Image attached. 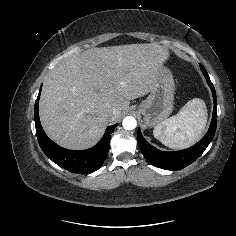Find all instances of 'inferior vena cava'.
Listing matches in <instances>:
<instances>
[{
    "label": "inferior vena cava",
    "mask_w": 236,
    "mask_h": 236,
    "mask_svg": "<svg viewBox=\"0 0 236 236\" xmlns=\"http://www.w3.org/2000/svg\"><path fill=\"white\" fill-rule=\"evenodd\" d=\"M117 110L116 109H113L112 112L110 113V117H113L114 115L117 114Z\"/></svg>",
    "instance_id": "602c4592"
}]
</instances>
